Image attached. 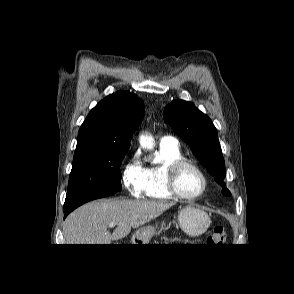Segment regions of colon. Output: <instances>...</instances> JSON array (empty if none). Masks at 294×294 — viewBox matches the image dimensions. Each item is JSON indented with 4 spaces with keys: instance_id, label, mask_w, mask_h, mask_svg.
Instances as JSON below:
<instances>
[{
    "instance_id": "5ec220e1",
    "label": "colon",
    "mask_w": 294,
    "mask_h": 294,
    "mask_svg": "<svg viewBox=\"0 0 294 294\" xmlns=\"http://www.w3.org/2000/svg\"><path fill=\"white\" fill-rule=\"evenodd\" d=\"M226 231L223 226H215L208 237V242L213 245L222 246L226 241Z\"/></svg>"
}]
</instances>
